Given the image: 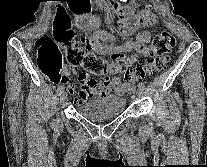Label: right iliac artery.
<instances>
[{
	"instance_id": "82829eb1",
	"label": "right iliac artery",
	"mask_w": 207,
	"mask_h": 167,
	"mask_svg": "<svg viewBox=\"0 0 207 167\" xmlns=\"http://www.w3.org/2000/svg\"><path fill=\"white\" fill-rule=\"evenodd\" d=\"M64 91V86L63 85H60L57 89V94H61L62 92Z\"/></svg>"
}]
</instances>
